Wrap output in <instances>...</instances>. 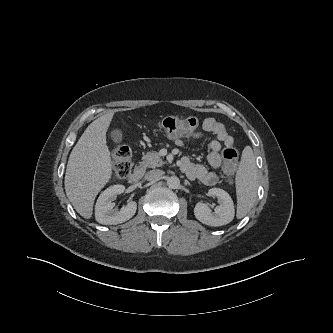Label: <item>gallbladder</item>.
<instances>
[{
    "label": "gallbladder",
    "instance_id": "bac80fb5",
    "mask_svg": "<svg viewBox=\"0 0 333 333\" xmlns=\"http://www.w3.org/2000/svg\"><path fill=\"white\" fill-rule=\"evenodd\" d=\"M110 138L112 139L113 142L120 143L123 140V133L120 129H113L110 132Z\"/></svg>",
    "mask_w": 333,
    "mask_h": 333
}]
</instances>
